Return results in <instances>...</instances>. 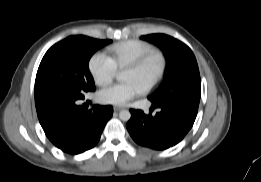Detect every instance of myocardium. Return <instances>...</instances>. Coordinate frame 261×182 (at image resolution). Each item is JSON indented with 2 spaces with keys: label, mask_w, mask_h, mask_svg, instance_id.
<instances>
[{
  "label": "myocardium",
  "mask_w": 261,
  "mask_h": 182,
  "mask_svg": "<svg viewBox=\"0 0 261 182\" xmlns=\"http://www.w3.org/2000/svg\"><path fill=\"white\" fill-rule=\"evenodd\" d=\"M154 57L159 59L160 68L155 78L143 88V91L145 92L150 91L151 89L156 87L164 78L167 70L166 56L161 51L153 49L143 54L142 56H140L139 58H137L136 60H134L124 68L125 70H138L142 68L150 59Z\"/></svg>",
  "instance_id": "myocardium-1"
}]
</instances>
